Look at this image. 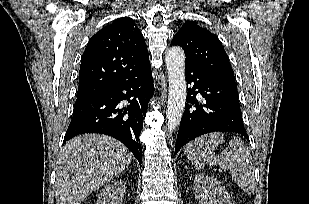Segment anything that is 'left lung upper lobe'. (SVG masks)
Masks as SVG:
<instances>
[{
    "mask_svg": "<svg viewBox=\"0 0 309 204\" xmlns=\"http://www.w3.org/2000/svg\"><path fill=\"white\" fill-rule=\"evenodd\" d=\"M171 44L183 48L185 66L201 68L214 75L235 80L228 55L217 36L196 22L183 24Z\"/></svg>",
    "mask_w": 309,
    "mask_h": 204,
    "instance_id": "obj_1",
    "label": "left lung upper lobe"
}]
</instances>
